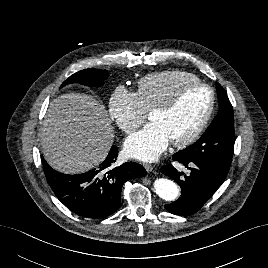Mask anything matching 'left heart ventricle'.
I'll return each mask as SVG.
<instances>
[{"instance_id": "obj_1", "label": "left heart ventricle", "mask_w": 268, "mask_h": 268, "mask_svg": "<svg viewBox=\"0 0 268 268\" xmlns=\"http://www.w3.org/2000/svg\"><path fill=\"white\" fill-rule=\"evenodd\" d=\"M210 101V92L193 87L183 92L177 105L167 113H151L152 121L159 123L170 141L185 138L199 123Z\"/></svg>"}]
</instances>
